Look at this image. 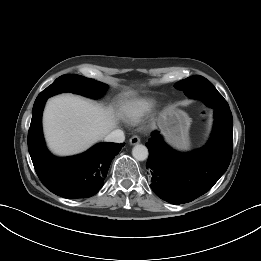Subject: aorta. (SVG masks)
Segmentation results:
<instances>
[{
	"instance_id": "1",
	"label": "aorta",
	"mask_w": 261,
	"mask_h": 261,
	"mask_svg": "<svg viewBox=\"0 0 261 261\" xmlns=\"http://www.w3.org/2000/svg\"><path fill=\"white\" fill-rule=\"evenodd\" d=\"M133 157L138 161H144L148 158V149L142 144H137L132 149Z\"/></svg>"
}]
</instances>
